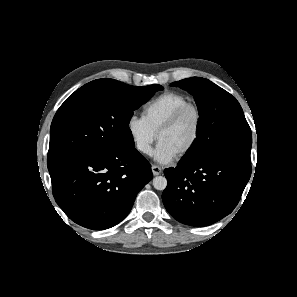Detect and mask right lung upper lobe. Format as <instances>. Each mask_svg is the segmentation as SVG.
<instances>
[{
  "label": "right lung upper lobe",
  "mask_w": 297,
  "mask_h": 297,
  "mask_svg": "<svg viewBox=\"0 0 297 297\" xmlns=\"http://www.w3.org/2000/svg\"><path fill=\"white\" fill-rule=\"evenodd\" d=\"M104 79H108V78H104ZM101 80H103V79H97V80H94L92 82H89L86 85L79 88L78 90L81 91V90H85V89L95 88L101 83Z\"/></svg>",
  "instance_id": "cb5924a9"
}]
</instances>
